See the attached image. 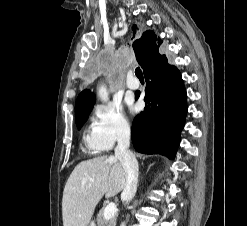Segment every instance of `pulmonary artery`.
Returning <instances> with one entry per match:
<instances>
[{
  "label": "pulmonary artery",
  "mask_w": 247,
  "mask_h": 226,
  "mask_svg": "<svg viewBox=\"0 0 247 226\" xmlns=\"http://www.w3.org/2000/svg\"><path fill=\"white\" fill-rule=\"evenodd\" d=\"M126 85L128 89L135 90L139 87V82L136 79H134L132 76H129Z\"/></svg>",
  "instance_id": "1"
}]
</instances>
